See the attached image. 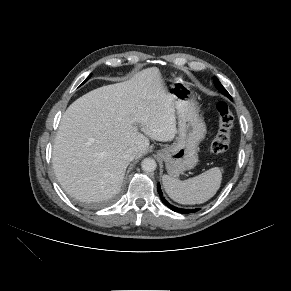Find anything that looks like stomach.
I'll return each instance as SVG.
<instances>
[{"mask_svg": "<svg viewBox=\"0 0 291 291\" xmlns=\"http://www.w3.org/2000/svg\"><path fill=\"white\" fill-rule=\"evenodd\" d=\"M169 93L178 115L176 141L158 151L170 176H178L198 163V146L206 134V125L199 115L197 100L186 82L176 81Z\"/></svg>", "mask_w": 291, "mask_h": 291, "instance_id": "0dacf381", "label": "stomach"}]
</instances>
